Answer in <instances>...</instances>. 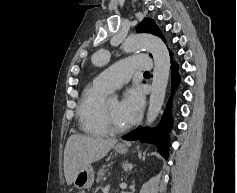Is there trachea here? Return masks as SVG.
I'll use <instances>...</instances> for the list:
<instances>
[{
	"mask_svg": "<svg viewBox=\"0 0 237 193\" xmlns=\"http://www.w3.org/2000/svg\"><path fill=\"white\" fill-rule=\"evenodd\" d=\"M145 75H150V73L148 71L144 72Z\"/></svg>",
	"mask_w": 237,
	"mask_h": 193,
	"instance_id": "1",
	"label": "trachea"
}]
</instances>
